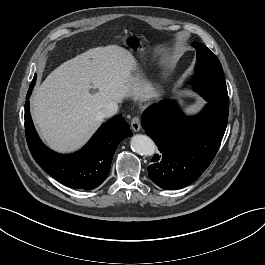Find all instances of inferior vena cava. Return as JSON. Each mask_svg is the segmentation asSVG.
Wrapping results in <instances>:
<instances>
[{"label":"inferior vena cava","mask_w":265,"mask_h":265,"mask_svg":"<svg viewBox=\"0 0 265 265\" xmlns=\"http://www.w3.org/2000/svg\"><path fill=\"white\" fill-rule=\"evenodd\" d=\"M118 111V105L116 103H110L105 108L98 112V118L104 119L109 118L116 114Z\"/></svg>","instance_id":"602c4592"}]
</instances>
